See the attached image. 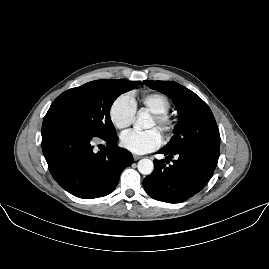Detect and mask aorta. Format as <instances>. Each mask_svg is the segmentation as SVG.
<instances>
[{
	"mask_svg": "<svg viewBox=\"0 0 269 269\" xmlns=\"http://www.w3.org/2000/svg\"><path fill=\"white\" fill-rule=\"evenodd\" d=\"M138 118L134 124V129L137 131H141L144 129L152 128L153 121L150 120L149 113L140 110L138 113ZM138 171L143 175H150L154 170V164L151 159L143 158L139 160L137 164Z\"/></svg>",
	"mask_w": 269,
	"mask_h": 269,
	"instance_id": "1",
	"label": "aorta"
}]
</instances>
